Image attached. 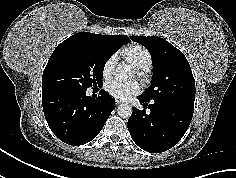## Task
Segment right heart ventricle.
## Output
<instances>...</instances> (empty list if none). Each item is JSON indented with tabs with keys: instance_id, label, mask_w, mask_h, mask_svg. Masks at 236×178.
Returning a JSON list of instances; mask_svg holds the SVG:
<instances>
[{
	"instance_id": "e07e8e85",
	"label": "right heart ventricle",
	"mask_w": 236,
	"mask_h": 178,
	"mask_svg": "<svg viewBox=\"0 0 236 178\" xmlns=\"http://www.w3.org/2000/svg\"><path fill=\"white\" fill-rule=\"evenodd\" d=\"M122 56L136 68L148 69L152 65L150 52L142 45H130L121 52Z\"/></svg>"
}]
</instances>
